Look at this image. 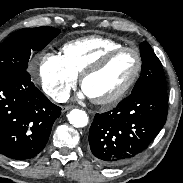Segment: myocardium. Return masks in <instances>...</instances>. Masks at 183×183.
I'll return each instance as SVG.
<instances>
[{"label":"myocardium","instance_id":"myocardium-1","mask_svg":"<svg viewBox=\"0 0 183 183\" xmlns=\"http://www.w3.org/2000/svg\"><path fill=\"white\" fill-rule=\"evenodd\" d=\"M123 51L132 52L136 57L137 64L132 77L122 89H120L118 92L109 97L93 98L88 96L93 103L104 106H111L118 103L129 93V91L132 89V87L138 80L143 67V60L139 50L130 46H119L106 52L96 62H94L92 65H90L87 69H85L82 72V74L80 75L81 87L83 88L84 82L88 77L104 69L117 54Z\"/></svg>","mask_w":183,"mask_h":183}]
</instances>
